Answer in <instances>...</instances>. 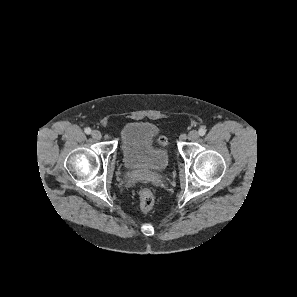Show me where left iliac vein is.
I'll return each mask as SVG.
<instances>
[{
  "instance_id": "left-iliac-vein-1",
  "label": "left iliac vein",
  "mask_w": 297,
  "mask_h": 297,
  "mask_svg": "<svg viewBox=\"0 0 297 297\" xmlns=\"http://www.w3.org/2000/svg\"><path fill=\"white\" fill-rule=\"evenodd\" d=\"M199 138V134L196 130H192L188 134V139L190 141H196Z\"/></svg>"
}]
</instances>
